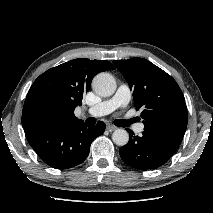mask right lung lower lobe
<instances>
[{
	"label": "right lung lower lobe",
	"instance_id": "1",
	"mask_svg": "<svg viewBox=\"0 0 213 213\" xmlns=\"http://www.w3.org/2000/svg\"><path fill=\"white\" fill-rule=\"evenodd\" d=\"M104 131L105 124L101 121L95 126L79 122L62 129L31 127L25 129V135L46 164L55 169H68L87 158L92 141Z\"/></svg>",
	"mask_w": 213,
	"mask_h": 213
}]
</instances>
